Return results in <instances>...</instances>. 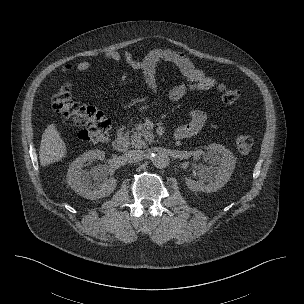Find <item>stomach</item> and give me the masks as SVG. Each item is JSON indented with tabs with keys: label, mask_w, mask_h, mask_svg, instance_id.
Returning <instances> with one entry per match:
<instances>
[{
	"label": "stomach",
	"mask_w": 304,
	"mask_h": 304,
	"mask_svg": "<svg viewBox=\"0 0 304 304\" xmlns=\"http://www.w3.org/2000/svg\"><path fill=\"white\" fill-rule=\"evenodd\" d=\"M147 108H148V106L145 105V106H141V107L139 108V110H140V111H143V110H146Z\"/></svg>",
	"instance_id": "stomach-1"
}]
</instances>
